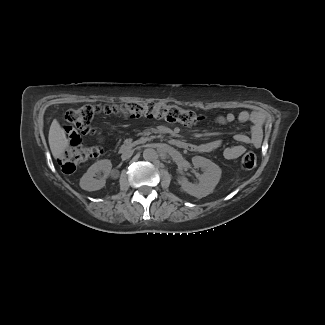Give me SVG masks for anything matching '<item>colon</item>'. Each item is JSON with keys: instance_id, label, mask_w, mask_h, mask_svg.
<instances>
[{"instance_id": "colon-1", "label": "colon", "mask_w": 325, "mask_h": 325, "mask_svg": "<svg viewBox=\"0 0 325 325\" xmlns=\"http://www.w3.org/2000/svg\"><path fill=\"white\" fill-rule=\"evenodd\" d=\"M104 114L125 118H157L170 122H178L187 126L197 124L202 117L196 113L182 109L176 105L164 102L136 103L129 102L120 105H82L69 110L65 115L66 122L75 130L83 134L96 133L92 125L96 115ZM102 150L93 146L76 145L68 147L61 155L59 164L65 173L74 172L80 165L88 160L101 155ZM257 158L252 152L245 153L240 166L243 170H253L256 167Z\"/></svg>"}]
</instances>
